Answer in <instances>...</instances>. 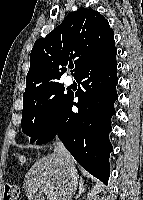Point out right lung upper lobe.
<instances>
[{
    "instance_id": "right-lung-upper-lobe-1",
    "label": "right lung upper lobe",
    "mask_w": 143,
    "mask_h": 200,
    "mask_svg": "<svg viewBox=\"0 0 143 200\" xmlns=\"http://www.w3.org/2000/svg\"><path fill=\"white\" fill-rule=\"evenodd\" d=\"M114 48V32L99 12L79 8L69 13L51 33L34 43L25 93L58 82L72 60L76 77L86 65Z\"/></svg>"
}]
</instances>
